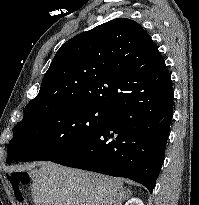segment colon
<instances>
[{"mask_svg":"<svg viewBox=\"0 0 199 205\" xmlns=\"http://www.w3.org/2000/svg\"><path fill=\"white\" fill-rule=\"evenodd\" d=\"M8 179L13 186L14 194L16 195L18 201L24 204V197L22 194V187L27 184L28 176L25 173H10Z\"/></svg>","mask_w":199,"mask_h":205,"instance_id":"5ec220e1","label":"colon"}]
</instances>
